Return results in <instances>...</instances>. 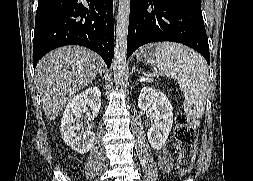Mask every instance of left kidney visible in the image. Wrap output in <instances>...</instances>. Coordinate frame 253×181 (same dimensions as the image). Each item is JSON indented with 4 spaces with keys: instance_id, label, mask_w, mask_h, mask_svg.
I'll return each instance as SVG.
<instances>
[{
    "instance_id": "left-kidney-1",
    "label": "left kidney",
    "mask_w": 253,
    "mask_h": 181,
    "mask_svg": "<svg viewBox=\"0 0 253 181\" xmlns=\"http://www.w3.org/2000/svg\"><path fill=\"white\" fill-rule=\"evenodd\" d=\"M138 107L150 111L152 125L147 131L150 145L160 150L165 145L173 124V109L168 97L158 89L143 87L138 98Z\"/></svg>"
}]
</instances>
